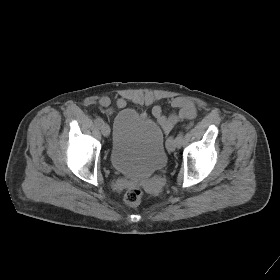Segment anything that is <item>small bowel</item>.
Masks as SVG:
<instances>
[{
  "label": "small bowel",
  "mask_w": 280,
  "mask_h": 280,
  "mask_svg": "<svg viewBox=\"0 0 280 280\" xmlns=\"http://www.w3.org/2000/svg\"><path fill=\"white\" fill-rule=\"evenodd\" d=\"M100 104L105 112L112 113L111 100L108 96H103L100 99ZM126 105V101L122 98L116 101V107L119 109L124 108ZM171 106L175 111L167 116L162 113L160 106H154L152 109L153 116L167 133L170 132L179 121L191 120L197 115L195 104L184 97H174L171 100Z\"/></svg>",
  "instance_id": "c3829d8e"
}]
</instances>
